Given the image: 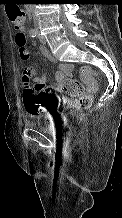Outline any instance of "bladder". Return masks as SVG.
<instances>
[{"mask_svg": "<svg viewBox=\"0 0 122 218\" xmlns=\"http://www.w3.org/2000/svg\"><path fill=\"white\" fill-rule=\"evenodd\" d=\"M46 115L43 113H28L25 117L27 124L30 127L44 132L49 128L48 123L45 121Z\"/></svg>", "mask_w": 122, "mask_h": 218, "instance_id": "obj_1", "label": "bladder"}]
</instances>
